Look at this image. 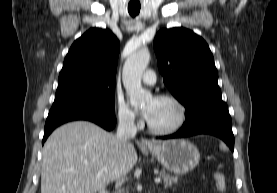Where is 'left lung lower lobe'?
<instances>
[{
  "label": "left lung lower lobe",
  "instance_id": "left-lung-lower-lobe-1",
  "mask_svg": "<svg viewBox=\"0 0 277 193\" xmlns=\"http://www.w3.org/2000/svg\"><path fill=\"white\" fill-rule=\"evenodd\" d=\"M197 134L215 135L225 141L232 151L234 150L232 122L226 103L222 101L202 105L186 117L183 127L177 133L159 138H182Z\"/></svg>",
  "mask_w": 277,
  "mask_h": 193
}]
</instances>
